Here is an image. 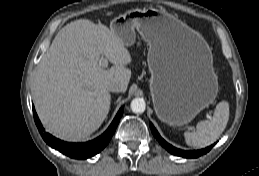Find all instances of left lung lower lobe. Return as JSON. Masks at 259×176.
<instances>
[{
    "label": "left lung lower lobe",
    "mask_w": 259,
    "mask_h": 176,
    "mask_svg": "<svg viewBox=\"0 0 259 176\" xmlns=\"http://www.w3.org/2000/svg\"><path fill=\"white\" fill-rule=\"evenodd\" d=\"M150 128L152 131V134L154 135V137L158 140V142L171 154L177 155V156H182V157H186V158H197L205 153H207L212 147L213 145L205 148V149H201V150H195V151H184V150H180L177 149L173 146H171L170 144H168L157 132V130L155 129V127L153 126L152 123H150Z\"/></svg>",
    "instance_id": "obj_1"
}]
</instances>
